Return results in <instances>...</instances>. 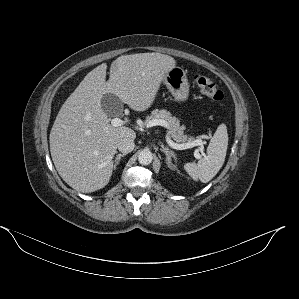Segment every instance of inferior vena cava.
Instances as JSON below:
<instances>
[{
  "label": "inferior vena cava",
  "instance_id": "inferior-vena-cava-1",
  "mask_svg": "<svg viewBox=\"0 0 299 299\" xmlns=\"http://www.w3.org/2000/svg\"><path fill=\"white\" fill-rule=\"evenodd\" d=\"M135 147L134 140L129 137H123L118 141L117 148L120 152L130 153Z\"/></svg>",
  "mask_w": 299,
  "mask_h": 299
}]
</instances>
